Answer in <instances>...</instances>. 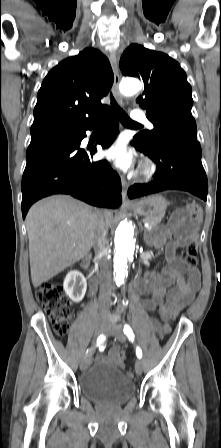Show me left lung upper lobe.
Instances as JSON below:
<instances>
[{
	"label": "left lung upper lobe",
	"instance_id": "left-lung-upper-lobe-1",
	"mask_svg": "<svg viewBox=\"0 0 221 448\" xmlns=\"http://www.w3.org/2000/svg\"><path fill=\"white\" fill-rule=\"evenodd\" d=\"M123 75L144 82L143 96L137 98L146 109L154 129L139 133L134 142L146 150L163 141L199 143L191 114L192 89L179 63L167 54L131 44L120 60Z\"/></svg>",
	"mask_w": 221,
	"mask_h": 448
}]
</instances>
